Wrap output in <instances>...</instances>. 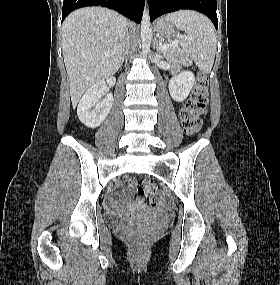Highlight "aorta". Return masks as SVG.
<instances>
[{
    "label": "aorta",
    "mask_w": 280,
    "mask_h": 285,
    "mask_svg": "<svg viewBox=\"0 0 280 285\" xmlns=\"http://www.w3.org/2000/svg\"><path fill=\"white\" fill-rule=\"evenodd\" d=\"M142 53L147 55L152 39V28L150 23L149 9L145 5L141 22Z\"/></svg>",
    "instance_id": "762f6f07"
}]
</instances>
